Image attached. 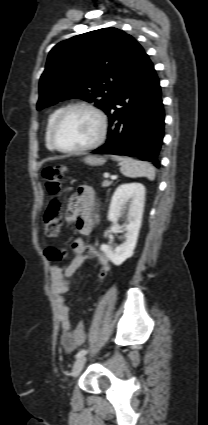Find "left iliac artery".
<instances>
[{
    "label": "left iliac artery",
    "mask_w": 208,
    "mask_h": 425,
    "mask_svg": "<svg viewBox=\"0 0 208 425\" xmlns=\"http://www.w3.org/2000/svg\"><path fill=\"white\" fill-rule=\"evenodd\" d=\"M87 352H88V350L82 349L75 355V358H79L81 356H84Z\"/></svg>",
    "instance_id": "left-iliac-artery-1"
}]
</instances>
